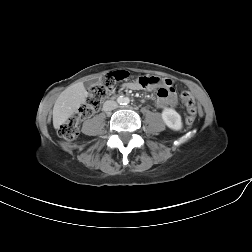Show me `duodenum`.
I'll use <instances>...</instances> for the list:
<instances>
[{
    "mask_svg": "<svg viewBox=\"0 0 252 252\" xmlns=\"http://www.w3.org/2000/svg\"><path fill=\"white\" fill-rule=\"evenodd\" d=\"M115 94L118 95V94H124V93L121 91H117Z\"/></svg>",
    "mask_w": 252,
    "mask_h": 252,
    "instance_id": "duodenum-1",
    "label": "duodenum"
}]
</instances>
